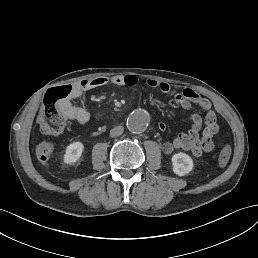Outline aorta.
I'll list each match as a JSON object with an SVG mask.
<instances>
[{"label": "aorta", "mask_w": 258, "mask_h": 258, "mask_svg": "<svg viewBox=\"0 0 258 258\" xmlns=\"http://www.w3.org/2000/svg\"><path fill=\"white\" fill-rule=\"evenodd\" d=\"M150 123V115L143 109L136 110L127 119V127L132 133H142Z\"/></svg>", "instance_id": "aorta-1"}]
</instances>
